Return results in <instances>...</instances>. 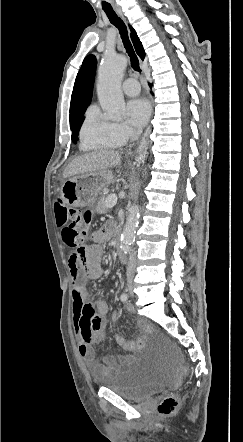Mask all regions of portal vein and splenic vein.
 Listing matches in <instances>:
<instances>
[{"instance_id": "18ae733b", "label": "portal vein and splenic vein", "mask_w": 243, "mask_h": 442, "mask_svg": "<svg viewBox=\"0 0 243 442\" xmlns=\"http://www.w3.org/2000/svg\"><path fill=\"white\" fill-rule=\"evenodd\" d=\"M117 203V196L116 195H111L108 199H107V203L106 206L108 208H112L116 205Z\"/></svg>"}]
</instances>
